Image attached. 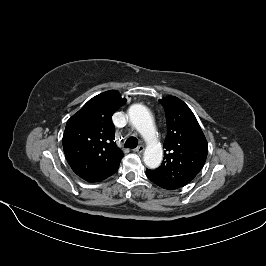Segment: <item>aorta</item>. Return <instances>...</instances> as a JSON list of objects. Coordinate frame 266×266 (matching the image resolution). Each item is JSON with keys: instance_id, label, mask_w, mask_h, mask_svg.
Wrapping results in <instances>:
<instances>
[{"instance_id": "obj_1", "label": "aorta", "mask_w": 266, "mask_h": 266, "mask_svg": "<svg viewBox=\"0 0 266 266\" xmlns=\"http://www.w3.org/2000/svg\"><path fill=\"white\" fill-rule=\"evenodd\" d=\"M132 125L142 135L147 146L143 160L147 167L157 168L162 161L163 150L156 137V128L148 109L141 104H134L128 110Z\"/></svg>"}]
</instances>
